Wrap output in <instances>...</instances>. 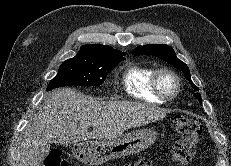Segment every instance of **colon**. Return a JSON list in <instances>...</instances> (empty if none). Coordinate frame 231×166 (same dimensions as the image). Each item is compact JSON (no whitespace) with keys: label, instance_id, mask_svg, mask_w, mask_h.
Masks as SVG:
<instances>
[{"label":"colon","instance_id":"1","mask_svg":"<svg viewBox=\"0 0 231 166\" xmlns=\"http://www.w3.org/2000/svg\"><path fill=\"white\" fill-rule=\"evenodd\" d=\"M175 130L178 139L173 146L172 158L179 164L186 165L196 153L201 125L194 118L178 116L175 119ZM44 166H68V161L60 149H52L44 161ZM124 166H154V161L149 157H141Z\"/></svg>","mask_w":231,"mask_h":166}]
</instances>
